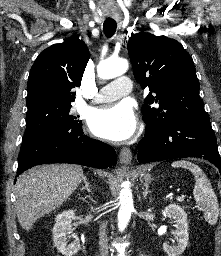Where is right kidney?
<instances>
[{
    "mask_svg": "<svg viewBox=\"0 0 221 256\" xmlns=\"http://www.w3.org/2000/svg\"><path fill=\"white\" fill-rule=\"evenodd\" d=\"M74 215V211L69 210L57 215L55 218V225L53 227L54 245L64 256H72L77 253L80 248L79 238L72 234L71 222ZM70 234H72L74 241L68 245L67 237H71Z\"/></svg>",
    "mask_w": 221,
    "mask_h": 256,
    "instance_id": "right-kidney-1",
    "label": "right kidney"
}]
</instances>
